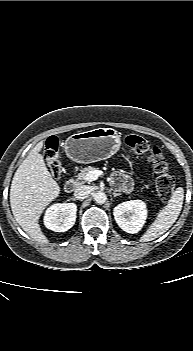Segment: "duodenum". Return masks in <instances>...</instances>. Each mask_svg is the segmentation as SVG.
Wrapping results in <instances>:
<instances>
[{
  "mask_svg": "<svg viewBox=\"0 0 193 351\" xmlns=\"http://www.w3.org/2000/svg\"><path fill=\"white\" fill-rule=\"evenodd\" d=\"M75 188H76V182L72 179L67 180L64 184V189L67 193L73 192Z\"/></svg>",
  "mask_w": 193,
  "mask_h": 351,
  "instance_id": "duodenum-1",
  "label": "duodenum"
}]
</instances>
